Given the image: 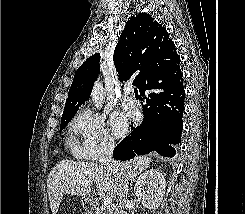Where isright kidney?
<instances>
[{
	"instance_id": "right-kidney-1",
	"label": "right kidney",
	"mask_w": 245,
	"mask_h": 214,
	"mask_svg": "<svg viewBox=\"0 0 245 214\" xmlns=\"http://www.w3.org/2000/svg\"><path fill=\"white\" fill-rule=\"evenodd\" d=\"M165 177L158 169L142 173L136 181L134 193L142 205L150 210L157 209L165 194Z\"/></svg>"
}]
</instances>
